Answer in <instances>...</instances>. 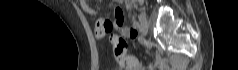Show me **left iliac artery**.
<instances>
[{"instance_id": "1", "label": "left iliac artery", "mask_w": 238, "mask_h": 70, "mask_svg": "<svg viewBox=\"0 0 238 70\" xmlns=\"http://www.w3.org/2000/svg\"><path fill=\"white\" fill-rule=\"evenodd\" d=\"M132 24H133V27H135V28L139 26V24L136 20H133Z\"/></svg>"}]
</instances>
